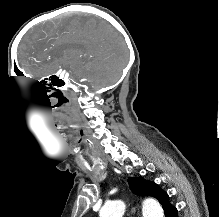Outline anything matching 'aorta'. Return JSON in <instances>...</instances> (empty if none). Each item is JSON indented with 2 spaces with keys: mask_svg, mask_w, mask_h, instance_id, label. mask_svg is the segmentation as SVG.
Listing matches in <instances>:
<instances>
[{
  "mask_svg": "<svg viewBox=\"0 0 219 217\" xmlns=\"http://www.w3.org/2000/svg\"><path fill=\"white\" fill-rule=\"evenodd\" d=\"M125 211V205L122 201H114L105 204L100 212L99 217H122ZM143 217H164L161 205L154 199H147L143 202Z\"/></svg>",
  "mask_w": 219,
  "mask_h": 217,
  "instance_id": "aorta-1",
  "label": "aorta"
}]
</instances>
